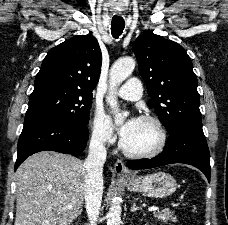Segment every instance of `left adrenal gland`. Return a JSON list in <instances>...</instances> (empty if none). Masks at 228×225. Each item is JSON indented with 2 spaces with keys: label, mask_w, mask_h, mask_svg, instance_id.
<instances>
[{
  "label": "left adrenal gland",
  "mask_w": 228,
  "mask_h": 225,
  "mask_svg": "<svg viewBox=\"0 0 228 225\" xmlns=\"http://www.w3.org/2000/svg\"><path fill=\"white\" fill-rule=\"evenodd\" d=\"M139 209H141V207H136V203H133L131 207L132 213H136V211H139Z\"/></svg>",
  "instance_id": "1"
}]
</instances>
